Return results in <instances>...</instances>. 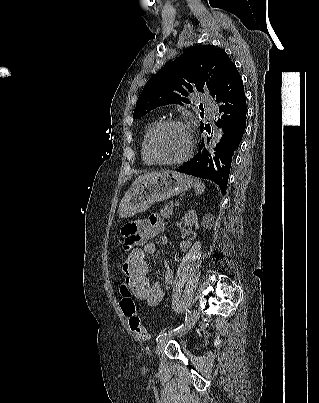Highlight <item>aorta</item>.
<instances>
[{"label":"aorta","instance_id":"1","mask_svg":"<svg viewBox=\"0 0 319 403\" xmlns=\"http://www.w3.org/2000/svg\"><path fill=\"white\" fill-rule=\"evenodd\" d=\"M222 130H217L213 133V136L211 138V141L209 143L208 148L212 149L216 146V144L220 141L221 137H222Z\"/></svg>","mask_w":319,"mask_h":403}]
</instances>
